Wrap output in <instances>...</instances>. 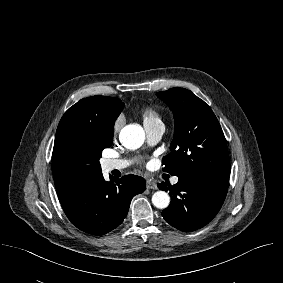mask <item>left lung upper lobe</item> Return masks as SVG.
Instances as JSON below:
<instances>
[{
    "instance_id": "5c2ea615",
    "label": "left lung upper lobe",
    "mask_w": 283,
    "mask_h": 283,
    "mask_svg": "<svg viewBox=\"0 0 283 283\" xmlns=\"http://www.w3.org/2000/svg\"><path fill=\"white\" fill-rule=\"evenodd\" d=\"M174 113L171 152L164 171L215 184H228L230 163L222 128L211 108L190 90L171 88L157 93Z\"/></svg>"
}]
</instances>
